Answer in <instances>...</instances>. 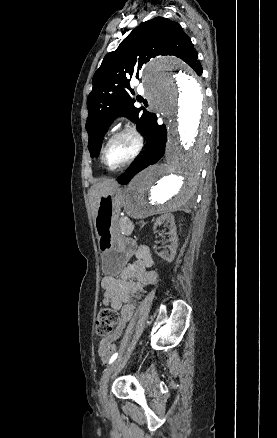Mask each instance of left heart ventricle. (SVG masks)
Here are the masks:
<instances>
[{"instance_id":"1","label":"left heart ventricle","mask_w":277,"mask_h":438,"mask_svg":"<svg viewBox=\"0 0 277 438\" xmlns=\"http://www.w3.org/2000/svg\"><path fill=\"white\" fill-rule=\"evenodd\" d=\"M133 148L134 142L128 136H123L114 140L106 151L105 157L108 165L111 167H116L122 164L131 155Z\"/></svg>"}]
</instances>
